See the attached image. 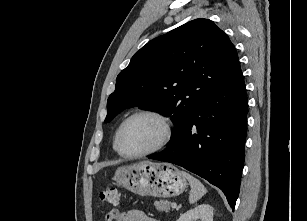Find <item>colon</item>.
I'll return each instance as SVG.
<instances>
[{
    "mask_svg": "<svg viewBox=\"0 0 307 221\" xmlns=\"http://www.w3.org/2000/svg\"><path fill=\"white\" fill-rule=\"evenodd\" d=\"M120 196L119 189L113 186L107 187L100 192V200L111 205H118Z\"/></svg>",
    "mask_w": 307,
    "mask_h": 221,
    "instance_id": "colon-1",
    "label": "colon"
}]
</instances>
